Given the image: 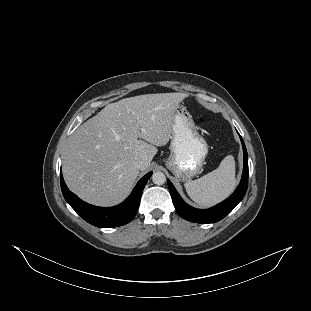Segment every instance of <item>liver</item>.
Returning <instances> with one entry per match:
<instances>
[{"mask_svg": "<svg viewBox=\"0 0 311 311\" xmlns=\"http://www.w3.org/2000/svg\"><path fill=\"white\" fill-rule=\"evenodd\" d=\"M186 98L177 92L124 98L80 125L64 151L68 187L97 205L123 200L149 169L156 147L170 142L176 110ZM136 159L143 161L140 168L133 166Z\"/></svg>", "mask_w": 311, "mask_h": 311, "instance_id": "1", "label": "liver"}]
</instances>
